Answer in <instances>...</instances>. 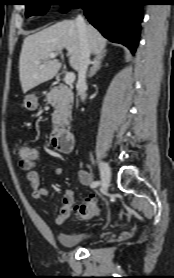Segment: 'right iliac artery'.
Instances as JSON below:
<instances>
[{
	"label": "right iliac artery",
	"mask_w": 174,
	"mask_h": 278,
	"mask_svg": "<svg viewBox=\"0 0 174 278\" xmlns=\"http://www.w3.org/2000/svg\"><path fill=\"white\" fill-rule=\"evenodd\" d=\"M99 184H100V182H99V181H95V182H93V184H92V188L97 187Z\"/></svg>",
	"instance_id": "82829eb1"
}]
</instances>
